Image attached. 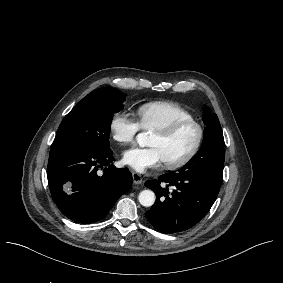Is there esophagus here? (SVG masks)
Listing matches in <instances>:
<instances>
[{
	"instance_id": "1",
	"label": "esophagus",
	"mask_w": 283,
	"mask_h": 283,
	"mask_svg": "<svg viewBox=\"0 0 283 283\" xmlns=\"http://www.w3.org/2000/svg\"><path fill=\"white\" fill-rule=\"evenodd\" d=\"M132 177H133V182L137 185L142 184L143 183V178L140 174L136 173V172H132Z\"/></svg>"
}]
</instances>
